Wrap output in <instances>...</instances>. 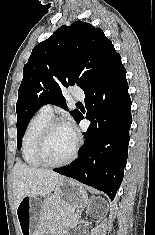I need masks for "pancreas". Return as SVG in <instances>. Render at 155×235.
<instances>
[{
	"label": "pancreas",
	"instance_id": "1",
	"mask_svg": "<svg viewBox=\"0 0 155 235\" xmlns=\"http://www.w3.org/2000/svg\"><path fill=\"white\" fill-rule=\"evenodd\" d=\"M46 203L48 205L46 208L47 212H49V213L51 212V213L61 217L67 223H74L76 221L77 214L72 213L70 211V209H68L67 207L62 206V205H58V204H52L49 200H46ZM51 205H53L54 211L50 209Z\"/></svg>",
	"mask_w": 155,
	"mask_h": 235
}]
</instances>
